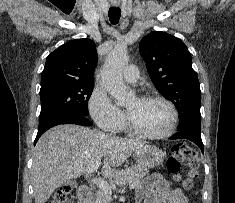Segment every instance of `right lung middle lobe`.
Returning a JSON list of instances; mask_svg holds the SVG:
<instances>
[{"mask_svg":"<svg viewBox=\"0 0 235 203\" xmlns=\"http://www.w3.org/2000/svg\"><path fill=\"white\" fill-rule=\"evenodd\" d=\"M94 82L62 81L41 86V112L39 119L59 113H73L87 116L88 100Z\"/></svg>","mask_w":235,"mask_h":203,"instance_id":"dd1d6c3e","label":"right lung middle lobe"}]
</instances>
